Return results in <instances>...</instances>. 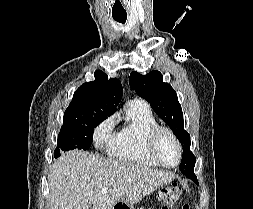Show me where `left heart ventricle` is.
<instances>
[{"label": "left heart ventricle", "mask_w": 253, "mask_h": 209, "mask_svg": "<svg viewBox=\"0 0 253 209\" xmlns=\"http://www.w3.org/2000/svg\"><path fill=\"white\" fill-rule=\"evenodd\" d=\"M155 149L157 155L164 163L174 165L177 162V147L173 139L167 133H163L159 136Z\"/></svg>", "instance_id": "1"}]
</instances>
